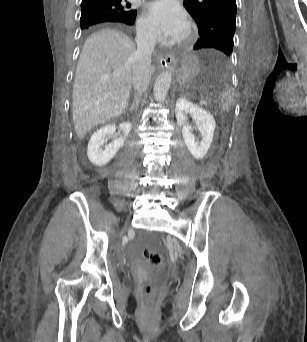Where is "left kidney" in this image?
Listing matches in <instances>:
<instances>
[{
	"instance_id": "obj_1",
	"label": "left kidney",
	"mask_w": 307,
	"mask_h": 342,
	"mask_svg": "<svg viewBox=\"0 0 307 342\" xmlns=\"http://www.w3.org/2000/svg\"><path fill=\"white\" fill-rule=\"evenodd\" d=\"M175 114L178 126H182V136L183 140L192 156L196 160H203L206 156L214 136V130L216 128V122L211 116L210 112L197 106V104H192L188 102L186 98H179L175 106ZM188 116H191L192 120L197 126L202 140L196 142L194 134H192V126L187 124Z\"/></svg>"
}]
</instances>
